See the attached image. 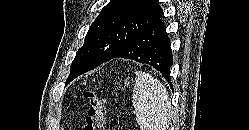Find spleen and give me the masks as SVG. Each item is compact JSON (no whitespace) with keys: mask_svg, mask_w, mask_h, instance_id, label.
I'll return each instance as SVG.
<instances>
[{"mask_svg":"<svg viewBox=\"0 0 249 130\" xmlns=\"http://www.w3.org/2000/svg\"><path fill=\"white\" fill-rule=\"evenodd\" d=\"M132 98L140 130H168L172 107L166 87L157 78L136 72Z\"/></svg>","mask_w":249,"mask_h":130,"instance_id":"spleen-1","label":"spleen"}]
</instances>
